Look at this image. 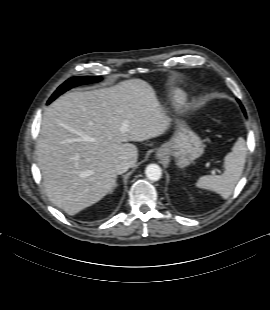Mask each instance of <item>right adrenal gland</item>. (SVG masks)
I'll return each mask as SVG.
<instances>
[{"label":"right adrenal gland","instance_id":"1","mask_svg":"<svg viewBox=\"0 0 270 310\" xmlns=\"http://www.w3.org/2000/svg\"><path fill=\"white\" fill-rule=\"evenodd\" d=\"M116 186H117V185H116ZM116 186H115V187H116ZM113 190H114V189H113ZM113 190H111V191H110V193H112V192H113Z\"/></svg>","mask_w":270,"mask_h":310}]
</instances>
